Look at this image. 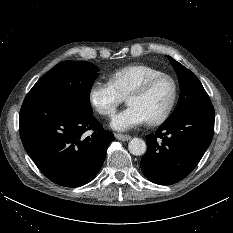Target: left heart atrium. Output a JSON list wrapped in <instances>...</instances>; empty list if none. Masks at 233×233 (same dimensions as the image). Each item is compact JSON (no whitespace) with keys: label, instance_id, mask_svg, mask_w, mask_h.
<instances>
[{"label":"left heart atrium","instance_id":"1","mask_svg":"<svg viewBox=\"0 0 233 233\" xmlns=\"http://www.w3.org/2000/svg\"><path fill=\"white\" fill-rule=\"evenodd\" d=\"M146 122V117L136 106L128 105L127 108L113 117L111 127L115 130L126 131Z\"/></svg>","mask_w":233,"mask_h":233}]
</instances>
